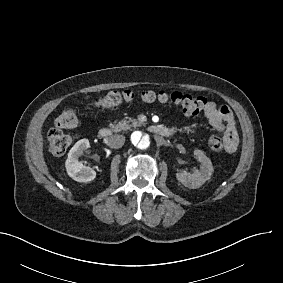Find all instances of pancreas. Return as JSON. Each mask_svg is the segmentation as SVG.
Instances as JSON below:
<instances>
[{
    "label": "pancreas",
    "mask_w": 283,
    "mask_h": 283,
    "mask_svg": "<svg viewBox=\"0 0 283 283\" xmlns=\"http://www.w3.org/2000/svg\"><path fill=\"white\" fill-rule=\"evenodd\" d=\"M140 125L141 124H139L136 120H133L132 118H126L117 124H110L109 127H111L114 132H119L121 130L130 129L132 126L136 127Z\"/></svg>",
    "instance_id": "obj_1"
}]
</instances>
